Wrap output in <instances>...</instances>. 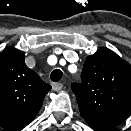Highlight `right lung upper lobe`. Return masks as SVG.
I'll list each match as a JSON object with an SVG mask.
<instances>
[{
	"mask_svg": "<svg viewBox=\"0 0 131 131\" xmlns=\"http://www.w3.org/2000/svg\"><path fill=\"white\" fill-rule=\"evenodd\" d=\"M51 86L31 69L19 50L9 47L0 53V126L19 130L39 112Z\"/></svg>",
	"mask_w": 131,
	"mask_h": 131,
	"instance_id": "1",
	"label": "right lung upper lobe"
}]
</instances>
